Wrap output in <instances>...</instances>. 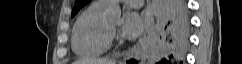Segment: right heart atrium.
<instances>
[{
    "label": "right heart atrium",
    "instance_id": "1",
    "mask_svg": "<svg viewBox=\"0 0 242 64\" xmlns=\"http://www.w3.org/2000/svg\"><path fill=\"white\" fill-rule=\"evenodd\" d=\"M112 36H115V34H114V33H112Z\"/></svg>",
    "mask_w": 242,
    "mask_h": 64
}]
</instances>
